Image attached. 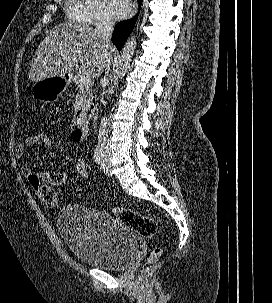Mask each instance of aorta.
<instances>
[{
  "label": "aorta",
  "instance_id": "aorta-1",
  "mask_svg": "<svg viewBox=\"0 0 272 303\" xmlns=\"http://www.w3.org/2000/svg\"><path fill=\"white\" fill-rule=\"evenodd\" d=\"M136 36L131 37L126 41L120 56V75L124 76L130 67V62L136 48Z\"/></svg>",
  "mask_w": 272,
  "mask_h": 303
}]
</instances>
